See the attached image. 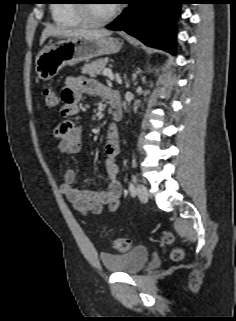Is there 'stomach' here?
Returning a JSON list of instances; mask_svg holds the SVG:
<instances>
[{"label":"stomach","mask_w":236,"mask_h":321,"mask_svg":"<svg viewBox=\"0 0 236 321\" xmlns=\"http://www.w3.org/2000/svg\"><path fill=\"white\" fill-rule=\"evenodd\" d=\"M122 43L113 37L88 39L71 36L44 47L36 57L35 71L44 81L53 79L67 66L102 55L117 53Z\"/></svg>","instance_id":"obj_1"}]
</instances>
